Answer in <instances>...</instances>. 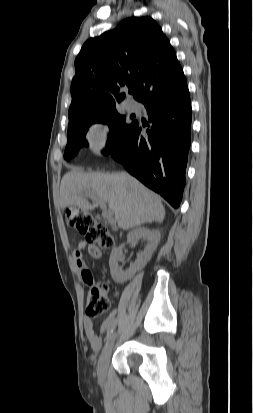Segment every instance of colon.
I'll use <instances>...</instances> for the list:
<instances>
[{
  "instance_id": "obj_1",
  "label": "colon",
  "mask_w": 253,
  "mask_h": 413,
  "mask_svg": "<svg viewBox=\"0 0 253 413\" xmlns=\"http://www.w3.org/2000/svg\"><path fill=\"white\" fill-rule=\"evenodd\" d=\"M66 220L70 226L85 236L87 243L105 249L113 247L114 236L104 224L98 222L91 214L78 208H69L66 210ZM107 292L108 286L104 283L90 284L86 304L87 316L97 317L108 310Z\"/></svg>"
}]
</instances>
